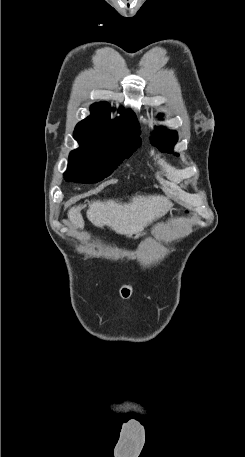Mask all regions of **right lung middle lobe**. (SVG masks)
<instances>
[{"instance_id":"1","label":"right lung middle lobe","mask_w":245,"mask_h":457,"mask_svg":"<svg viewBox=\"0 0 245 457\" xmlns=\"http://www.w3.org/2000/svg\"><path fill=\"white\" fill-rule=\"evenodd\" d=\"M139 129L78 124L74 138L80 147L69 155L65 180L95 183L110 175L114 169L140 146Z\"/></svg>"}]
</instances>
